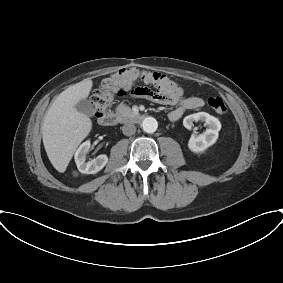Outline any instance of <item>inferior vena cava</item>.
Masks as SVG:
<instances>
[{
	"mask_svg": "<svg viewBox=\"0 0 283 283\" xmlns=\"http://www.w3.org/2000/svg\"><path fill=\"white\" fill-rule=\"evenodd\" d=\"M122 131H123L124 135L131 136V135L135 134L136 127H135V125L128 123V124H125L122 127Z\"/></svg>",
	"mask_w": 283,
	"mask_h": 283,
	"instance_id": "inferior-vena-cava-1",
	"label": "inferior vena cava"
}]
</instances>
